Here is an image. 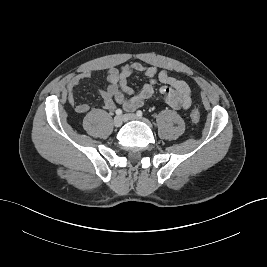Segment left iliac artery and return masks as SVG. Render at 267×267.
I'll return each instance as SVG.
<instances>
[{"instance_id":"44dca946","label":"left iliac artery","mask_w":267,"mask_h":267,"mask_svg":"<svg viewBox=\"0 0 267 267\" xmlns=\"http://www.w3.org/2000/svg\"><path fill=\"white\" fill-rule=\"evenodd\" d=\"M136 114H137V116H139V117H142V115H143V113H142L141 110H138V111L136 112Z\"/></svg>"}]
</instances>
